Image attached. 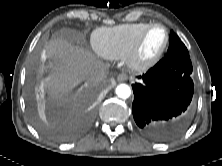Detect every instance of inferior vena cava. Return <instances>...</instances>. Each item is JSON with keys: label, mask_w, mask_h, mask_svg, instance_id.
Segmentation results:
<instances>
[{"label": "inferior vena cava", "mask_w": 222, "mask_h": 166, "mask_svg": "<svg viewBox=\"0 0 222 166\" xmlns=\"http://www.w3.org/2000/svg\"><path fill=\"white\" fill-rule=\"evenodd\" d=\"M107 66L102 65L101 68H92L88 72L87 81L89 84H96L103 81L106 77Z\"/></svg>", "instance_id": "1"}]
</instances>
